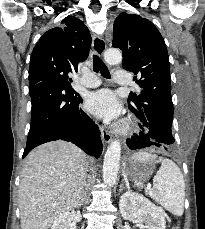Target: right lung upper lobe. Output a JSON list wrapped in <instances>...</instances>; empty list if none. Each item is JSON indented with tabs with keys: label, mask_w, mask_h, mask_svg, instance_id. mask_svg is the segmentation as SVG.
I'll return each mask as SVG.
<instances>
[{
	"label": "right lung upper lobe",
	"mask_w": 205,
	"mask_h": 229,
	"mask_svg": "<svg viewBox=\"0 0 205 229\" xmlns=\"http://www.w3.org/2000/svg\"><path fill=\"white\" fill-rule=\"evenodd\" d=\"M61 24L44 33L35 45L30 58L29 87L55 76L69 77L87 59L91 47L88 28L75 17H66Z\"/></svg>",
	"instance_id": "obj_1"
}]
</instances>
